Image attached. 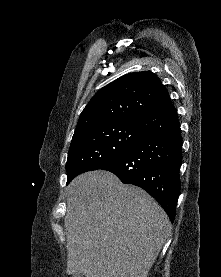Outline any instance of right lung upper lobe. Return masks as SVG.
<instances>
[{
  "instance_id": "1",
  "label": "right lung upper lobe",
  "mask_w": 221,
  "mask_h": 277,
  "mask_svg": "<svg viewBox=\"0 0 221 277\" xmlns=\"http://www.w3.org/2000/svg\"><path fill=\"white\" fill-rule=\"evenodd\" d=\"M170 100L166 88L154 73L144 71L123 75L93 96L82 111L74 134L95 126L138 121Z\"/></svg>"
}]
</instances>
